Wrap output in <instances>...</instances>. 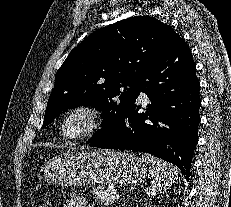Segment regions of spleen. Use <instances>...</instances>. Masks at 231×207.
<instances>
[{"label":"spleen","mask_w":231,"mask_h":207,"mask_svg":"<svg viewBox=\"0 0 231 207\" xmlns=\"http://www.w3.org/2000/svg\"><path fill=\"white\" fill-rule=\"evenodd\" d=\"M142 160L148 164L152 176L147 194L155 195L167 190L177 179L179 170L173 164L155 158L149 154H142Z\"/></svg>","instance_id":"spleen-1"}]
</instances>
